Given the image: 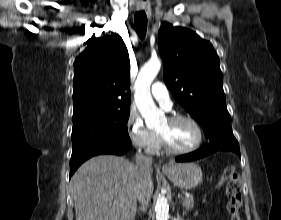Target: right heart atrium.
<instances>
[{
	"label": "right heart atrium",
	"instance_id": "obj_1",
	"mask_svg": "<svg viewBox=\"0 0 281 220\" xmlns=\"http://www.w3.org/2000/svg\"><path fill=\"white\" fill-rule=\"evenodd\" d=\"M127 133L130 142L136 149L145 152L153 150L157 141L156 134L146 127L142 118L136 112L129 114Z\"/></svg>",
	"mask_w": 281,
	"mask_h": 220
}]
</instances>
